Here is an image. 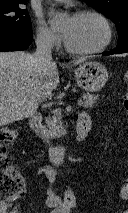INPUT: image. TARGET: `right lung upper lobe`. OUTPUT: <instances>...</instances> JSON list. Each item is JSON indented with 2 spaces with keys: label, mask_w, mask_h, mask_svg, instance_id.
I'll list each match as a JSON object with an SVG mask.
<instances>
[{
  "label": "right lung upper lobe",
  "mask_w": 128,
  "mask_h": 213,
  "mask_svg": "<svg viewBox=\"0 0 128 213\" xmlns=\"http://www.w3.org/2000/svg\"><path fill=\"white\" fill-rule=\"evenodd\" d=\"M27 0H0L1 5H16V4H24Z\"/></svg>",
  "instance_id": "1"
}]
</instances>
